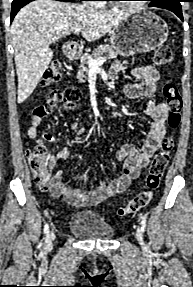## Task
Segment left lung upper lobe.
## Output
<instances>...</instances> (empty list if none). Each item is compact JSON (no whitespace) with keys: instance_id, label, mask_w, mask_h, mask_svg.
<instances>
[{"instance_id":"5c2ea615","label":"left lung upper lobe","mask_w":193,"mask_h":287,"mask_svg":"<svg viewBox=\"0 0 193 287\" xmlns=\"http://www.w3.org/2000/svg\"><path fill=\"white\" fill-rule=\"evenodd\" d=\"M148 1H150L149 6H155V5H158V4H161L164 2H168V1H173V0H148ZM180 1H182V0H180Z\"/></svg>"}]
</instances>
